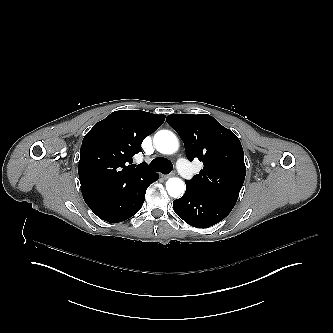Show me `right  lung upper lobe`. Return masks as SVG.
Here are the masks:
<instances>
[{
    "label": "right lung upper lobe",
    "mask_w": 333,
    "mask_h": 333,
    "mask_svg": "<svg viewBox=\"0 0 333 333\" xmlns=\"http://www.w3.org/2000/svg\"><path fill=\"white\" fill-rule=\"evenodd\" d=\"M165 120L140 110H120L96 123L85 135L78 167L81 190L97 185L124 182L148 170L131 164L142 151L141 143Z\"/></svg>",
    "instance_id": "right-lung-upper-lobe-1"
}]
</instances>
